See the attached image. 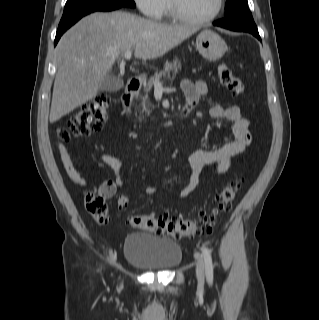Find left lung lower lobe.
<instances>
[{
    "mask_svg": "<svg viewBox=\"0 0 319 320\" xmlns=\"http://www.w3.org/2000/svg\"><path fill=\"white\" fill-rule=\"evenodd\" d=\"M213 24L215 26H220L233 31L249 32L253 34L255 37H257L259 40H261L257 27L253 20L240 17H232L215 21Z\"/></svg>",
    "mask_w": 319,
    "mask_h": 320,
    "instance_id": "1",
    "label": "left lung lower lobe"
}]
</instances>
